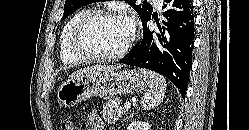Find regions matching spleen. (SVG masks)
<instances>
[{
	"mask_svg": "<svg viewBox=\"0 0 249 130\" xmlns=\"http://www.w3.org/2000/svg\"><path fill=\"white\" fill-rule=\"evenodd\" d=\"M147 82V90L142 97L141 104L144 109L150 110L161 104L165 96V78L155 72L141 69Z\"/></svg>",
	"mask_w": 249,
	"mask_h": 130,
	"instance_id": "1",
	"label": "spleen"
}]
</instances>
